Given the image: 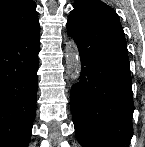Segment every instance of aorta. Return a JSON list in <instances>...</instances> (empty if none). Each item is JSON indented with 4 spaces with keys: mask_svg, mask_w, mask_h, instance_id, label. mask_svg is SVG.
Returning a JSON list of instances; mask_svg holds the SVG:
<instances>
[{
    "mask_svg": "<svg viewBox=\"0 0 145 147\" xmlns=\"http://www.w3.org/2000/svg\"><path fill=\"white\" fill-rule=\"evenodd\" d=\"M66 70L73 82H78L81 72V58L73 39H68L65 46Z\"/></svg>",
    "mask_w": 145,
    "mask_h": 147,
    "instance_id": "1",
    "label": "aorta"
}]
</instances>
